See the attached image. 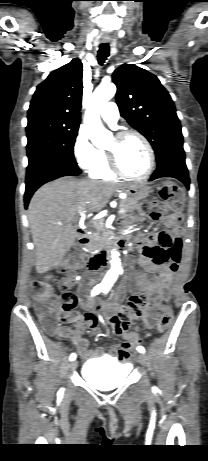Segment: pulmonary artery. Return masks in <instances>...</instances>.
<instances>
[{
  "mask_svg": "<svg viewBox=\"0 0 208 461\" xmlns=\"http://www.w3.org/2000/svg\"><path fill=\"white\" fill-rule=\"evenodd\" d=\"M101 116L108 124L115 126L119 118L117 105L114 102L106 103L101 110Z\"/></svg>",
  "mask_w": 208,
  "mask_h": 461,
  "instance_id": "1",
  "label": "pulmonary artery"
}]
</instances>
